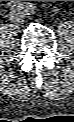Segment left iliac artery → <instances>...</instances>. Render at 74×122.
I'll return each instance as SVG.
<instances>
[{
	"mask_svg": "<svg viewBox=\"0 0 74 122\" xmlns=\"http://www.w3.org/2000/svg\"><path fill=\"white\" fill-rule=\"evenodd\" d=\"M25 11L27 14H32L35 12V7L32 4H28Z\"/></svg>",
	"mask_w": 74,
	"mask_h": 122,
	"instance_id": "1",
	"label": "left iliac artery"
}]
</instances>
